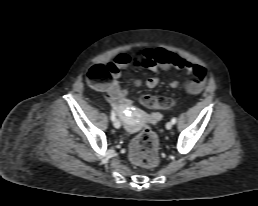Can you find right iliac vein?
I'll return each mask as SVG.
<instances>
[{
	"label": "right iliac vein",
	"mask_w": 258,
	"mask_h": 206,
	"mask_svg": "<svg viewBox=\"0 0 258 206\" xmlns=\"http://www.w3.org/2000/svg\"><path fill=\"white\" fill-rule=\"evenodd\" d=\"M115 128L119 129L121 127V123L118 119H115L113 122Z\"/></svg>",
	"instance_id": "obj_1"
}]
</instances>
